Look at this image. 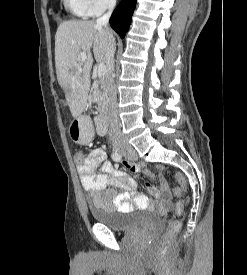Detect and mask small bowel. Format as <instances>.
Returning <instances> with one entry per match:
<instances>
[{
    "instance_id": "small-bowel-1",
    "label": "small bowel",
    "mask_w": 247,
    "mask_h": 275,
    "mask_svg": "<svg viewBox=\"0 0 247 275\" xmlns=\"http://www.w3.org/2000/svg\"><path fill=\"white\" fill-rule=\"evenodd\" d=\"M134 173L149 174V170L143 164L134 165L130 169ZM82 186L88 191L92 204L95 207L116 212H128L134 206L146 208L150 200L137 192L134 179L118 166L107 160L106 152L102 148H94L77 167ZM159 186L148 184L151 195L158 199L161 209L171 208L172 201L167 182L159 173ZM119 190L122 193H119Z\"/></svg>"
}]
</instances>
